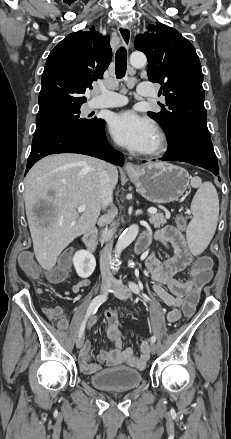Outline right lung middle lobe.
Returning a JSON list of instances; mask_svg holds the SVG:
<instances>
[{"label": "right lung middle lobe", "instance_id": "right-lung-middle-lobe-1", "mask_svg": "<svg viewBox=\"0 0 231 439\" xmlns=\"http://www.w3.org/2000/svg\"><path fill=\"white\" fill-rule=\"evenodd\" d=\"M100 124L101 119L81 118L80 107H78L37 118L34 137L57 130L90 131L98 128Z\"/></svg>", "mask_w": 231, "mask_h": 439}]
</instances>
